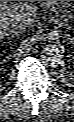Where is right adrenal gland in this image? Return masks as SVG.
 Here are the masks:
<instances>
[{
    "instance_id": "obj_1",
    "label": "right adrenal gland",
    "mask_w": 74,
    "mask_h": 122,
    "mask_svg": "<svg viewBox=\"0 0 74 122\" xmlns=\"http://www.w3.org/2000/svg\"><path fill=\"white\" fill-rule=\"evenodd\" d=\"M20 34H21L20 31H17V32L12 31V32L6 33L5 36H7L9 38V36L14 37V36H19Z\"/></svg>"
}]
</instances>
